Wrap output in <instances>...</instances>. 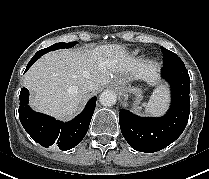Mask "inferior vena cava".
<instances>
[{
	"mask_svg": "<svg viewBox=\"0 0 209 179\" xmlns=\"http://www.w3.org/2000/svg\"><path fill=\"white\" fill-rule=\"evenodd\" d=\"M94 87H95L94 82H92V81H86L82 85L81 89H82V91L84 93H87V92L93 91Z\"/></svg>",
	"mask_w": 209,
	"mask_h": 179,
	"instance_id": "602c4592",
	"label": "inferior vena cava"
}]
</instances>
